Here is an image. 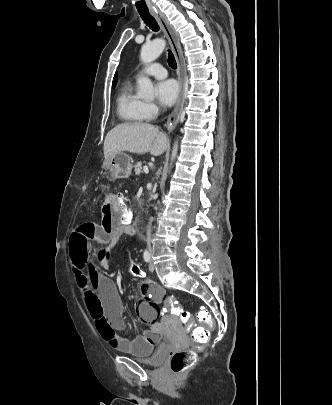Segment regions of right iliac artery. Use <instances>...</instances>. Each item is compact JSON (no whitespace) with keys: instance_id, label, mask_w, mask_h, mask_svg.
<instances>
[{"instance_id":"1","label":"right iliac artery","mask_w":332,"mask_h":405,"mask_svg":"<svg viewBox=\"0 0 332 405\" xmlns=\"http://www.w3.org/2000/svg\"><path fill=\"white\" fill-rule=\"evenodd\" d=\"M143 258H144V260H145L146 262H149L150 259H151L150 253H149L147 250L144 251V253H143Z\"/></svg>"}]
</instances>
